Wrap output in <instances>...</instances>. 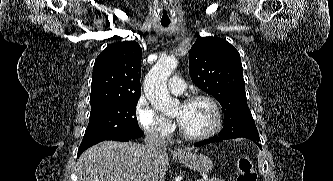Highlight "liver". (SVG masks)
<instances>
[{
    "label": "liver",
    "mask_w": 333,
    "mask_h": 181,
    "mask_svg": "<svg viewBox=\"0 0 333 181\" xmlns=\"http://www.w3.org/2000/svg\"><path fill=\"white\" fill-rule=\"evenodd\" d=\"M156 164L164 176L169 166L166 150ZM152 169L145 145L133 142L104 141L86 150L78 160L79 181H147Z\"/></svg>",
    "instance_id": "6515ba94"
}]
</instances>
